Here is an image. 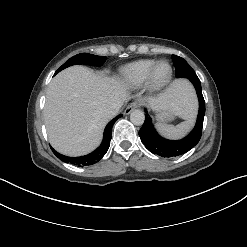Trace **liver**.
<instances>
[{
  "label": "liver",
  "instance_id": "liver-1",
  "mask_svg": "<svg viewBox=\"0 0 247 247\" xmlns=\"http://www.w3.org/2000/svg\"><path fill=\"white\" fill-rule=\"evenodd\" d=\"M127 87L94 73L84 66H72L57 74L47 89L44 122L51 145L60 153L81 156L101 142L110 118L104 111L110 105L124 103ZM156 108L170 107L176 116L191 120L196 111L193 92L186 81H174L157 97L148 98Z\"/></svg>",
  "mask_w": 247,
  "mask_h": 247
}]
</instances>
